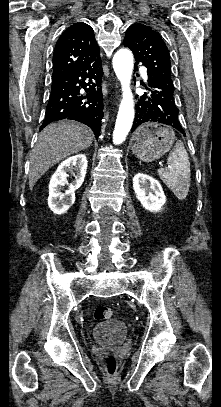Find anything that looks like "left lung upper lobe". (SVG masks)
Wrapping results in <instances>:
<instances>
[{"label":"left lung upper lobe","mask_w":221,"mask_h":407,"mask_svg":"<svg viewBox=\"0 0 221 407\" xmlns=\"http://www.w3.org/2000/svg\"><path fill=\"white\" fill-rule=\"evenodd\" d=\"M124 45L131 49L136 63L147 67L148 76L173 84L168 48L154 29L143 24H132L126 31Z\"/></svg>","instance_id":"left-lung-upper-lobe-1"}]
</instances>
